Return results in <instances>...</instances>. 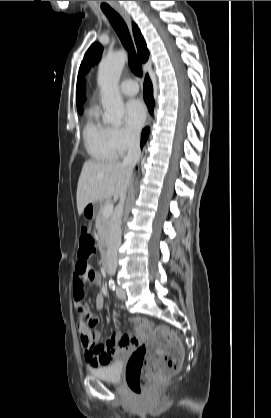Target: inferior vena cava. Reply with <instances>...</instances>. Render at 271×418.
Listing matches in <instances>:
<instances>
[{
    "instance_id": "602c4592",
    "label": "inferior vena cava",
    "mask_w": 271,
    "mask_h": 418,
    "mask_svg": "<svg viewBox=\"0 0 271 418\" xmlns=\"http://www.w3.org/2000/svg\"><path fill=\"white\" fill-rule=\"evenodd\" d=\"M140 156V136L139 133H133L129 139L128 153L122 162L123 166L127 167L129 174H131L133 168L139 161ZM125 198L126 191L120 196V201L116 207L115 215L110 227L107 244V267L110 275H114L117 268V253L121 244V219Z\"/></svg>"
}]
</instances>
